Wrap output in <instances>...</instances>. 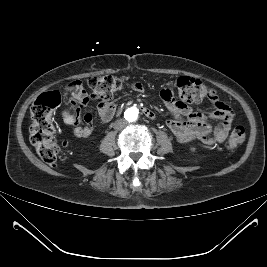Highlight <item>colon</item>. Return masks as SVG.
Here are the masks:
<instances>
[{
  "label": "colon",
  "instance_id": "colon-1",
  "mask_svg": "<svg viewBox=\"0 0 267 267\" xmlns=\"http://www.w3.org/2000/svg\"><path fill=\"white\" fill-rule=\"evenodd\" d=\"M127 82L126 78L113 75L91 77L87 84L91 89V96L107 103L114 98ZM179 98L184 103H198L217 98L214 90L199 79L188 76L179 77L174 83ZM60 104V94L50 91L40 95L31 107L32 123L30 126V141L39 157L47 164L54 165L59 157L61 145L55 138L53 113ZM246 132L242 126L232 131L227 146L236 148L243 144Z\"/></svg>",
  "mask_w": 267,
  "mask_h": 267
}]
</instances>
